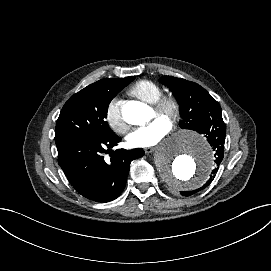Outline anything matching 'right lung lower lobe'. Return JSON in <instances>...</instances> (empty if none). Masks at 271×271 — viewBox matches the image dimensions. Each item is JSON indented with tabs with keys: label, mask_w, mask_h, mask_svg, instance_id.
Instances as JSON below:
<instances>
[{
	"label": "right lung lower lobe",
	"mask_w": 271,
	"mask_h": 271,
	"mask_svg": "<svg viewBox=\"0 0 271 271\" xmlns=\"http://www.w3.org/2000/svg\"><path fill=\"white\" fill-rule=\"evenodd\" d=\"M121 138L77 136L58 144V163L73 188L83 197L95 202H109L124 190L130 163L144 155L142 149L114 151ZM110 152V159L104 154Z\"/></svg>",
	"instance_id": "right-lung-lower-lobe-1"
}]
</instances>
